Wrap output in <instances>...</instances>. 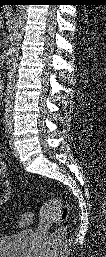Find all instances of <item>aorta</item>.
<instances>
[{"instance_id":"obj_1","label":"aorta","mask_w":106,"mask_h":257,"mask_svg":"<svg viewBox=\"0 0 106 257\" xmlns=\"http://www.w3.org/2000/svg\"><path fill=\"white\" fill-rule=\"evenodd\" d=\"M26 18V7L24 5H20L18 7V26L20 27ZM21 38V34L18 32H14L12 34V41L13 45L9 50L10 54V69L8 72V83H7V92L5 96V116L6 121L8 124H11L10 120V112L13 105V90L15 85V78H16V67H17V60L19 56V45L18 41Z\"/></svg>"}]
</instances>
